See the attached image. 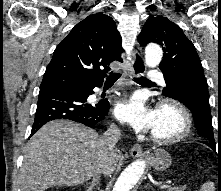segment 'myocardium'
<instances>
[{"label": "myocardium", "instance_id": "1", "mask_svg": "<svg viewBox=\"0 0 221 191\" xmlns=\"http://www.w3.org/2000/svg\"><path fill=\"white\" fill-rule=\"evenodd\" d=\"M164 109H170L178 115L180 126L175 133L170 135H161L152 131L151 139L158 144H174L180 142L191 132L193 124L191 113L181 102L174 99L161 100L158 105V112Z\"/></svg>", "mask_w": 221, "mask_h": 191}]
</instances>
